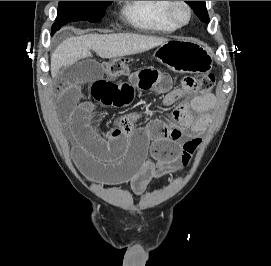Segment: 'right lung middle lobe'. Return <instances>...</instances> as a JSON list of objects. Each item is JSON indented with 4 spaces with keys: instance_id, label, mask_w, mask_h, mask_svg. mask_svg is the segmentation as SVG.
Instances as JSON below:
<instances>
[{
    "instance_id": "obj_1",
    "label": "right lung middle lobe",
    "mask_w": 271,
    "mask_h": 266,
    "mask_svg": "<svg viewBox=\"0 0 271 266\" xmlns=\"http://www.w3.org/2000/svg\"><path fill=\"white\" fill-rule=\"evenodd\" d=\"M111 1H60L58 15L52 26V33L61 26L75 21L98 22Z\"/></svg>"
}]
</instances>
